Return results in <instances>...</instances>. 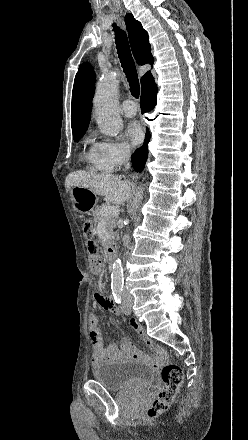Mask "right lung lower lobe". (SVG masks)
I'll return each instance as SVG.
<instances>
[{
  "label": "right lung lower lobe",
  "mask_w": 248,
  "mask_h": 440,
  "mask_svg": "<svg viewBox=\"0 0 248 440\" xmlns=\"http://www.w3.org/2000/svg\"><path fill=\"white\" fill-rule=\"evenodd\" d=\"M158 92L157 85L153 80H150L141 90V100H140V106H141V112L142 114L145 112L151 111L155 105H156V94ZM150 140V133L149 131L146 132V138L144 145L135 151V153L132 155V164L133 167L137 172H140L143 170L145 162L147 160L148 156V143Z\"/></svg>",
  "instance_id": "1"
}]
</instances>
